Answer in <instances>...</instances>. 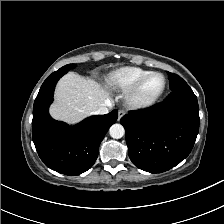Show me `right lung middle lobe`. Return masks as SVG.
Instances as JSON below:
<instances>
[{"label":"right lung middle lobe","instance_id":"dd1d6c3e","mask_svg":"<svg viewBox=\"0 0 224 224\" xmlns=\"http://www.w3.org/2000/svg\"><path fill=\"white\" fill-rule=\"evenodd\" d=\"M75 66V64H68L63 66L62 68H60L58 71H65L68 72L71 68H73Z\"/></svg>","mask_w":224,"mask_h":224}]
</instances>
